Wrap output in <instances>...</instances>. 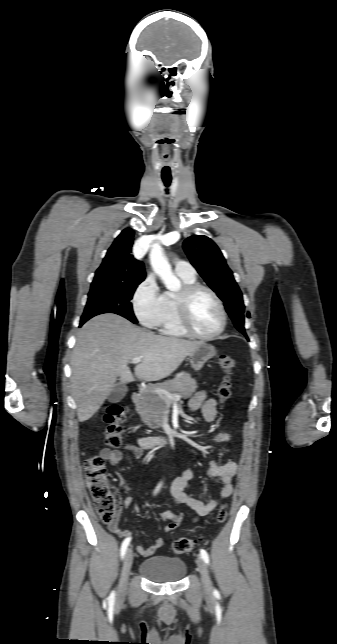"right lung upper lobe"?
I'll use <instances>...</instances> for the list:
<instances>
[{"label": "right lung upper lobe", "mask_w": 337, "mask_h": 644, "mask_svg": "<svg viewBox=\"0 0 337 644\" xmlns=\"http://www.w3.org/2000/svg\"><path fill=\"white\" fill-rule=\"evenodd\" d=\"M133 236L134 232L126 228L115 239L97 269L92 284L134 283L145 279L143 263L131 255Z\"/></svg>", "instance_id": "cb5924a9"}]
</instances>
